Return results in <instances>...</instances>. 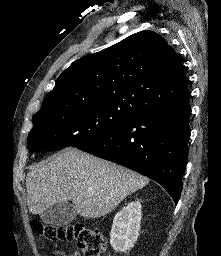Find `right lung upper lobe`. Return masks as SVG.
Listing matches in <instances>:
<instances>
[{
	"mask_svg": "<svg viewBox=\"0 0 221 256\" xmlns=\"http://www.w3.org/2000/svg\"><path fill=\"white\" fill-rule=\"evenodd\" d=\"M188 99L178 55L163 37L144 30L74 61L35 115L89 104L125 107L139 115Z\"/></svg>",
	"mask_w": 221,
	"mask_h": 256,
	"instance_id": "cb5924a9",
	"label": "right lung upper lobe"
}]
</instances>
